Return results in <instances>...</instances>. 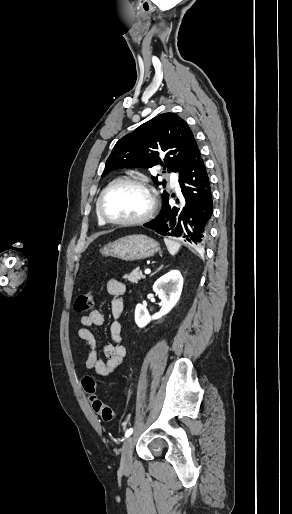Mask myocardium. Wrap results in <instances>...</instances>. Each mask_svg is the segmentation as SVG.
<instances>
[{"label": "myocardium", "instance_id": "obj_1", "mask_svg": "<svg viewBox=\"0 0 292 514\" xmlns=\"http://www.w3.org/2000/svg\"><path fill=\"white\" fill-rule=\"evenodd\" d=\"M123 184H132V185L140 187L146 193V195L148 197L149 205H148L147 211L139 217L129 219V220H114V219H111L110 217H108L103 212V200H104L106 194L112 188L119 186V185H123ZM155 208H156V200H155V196H154L152 190L149 188L146 181H144L143 179L137 178V177H124V178H119L117 180L112 181L110 184H108L102 190V192L100 193L98 200H97V212H98L99 217L105 223L118 225V226H131V225L141 224L152 217V215L155 212Z\"/></svg>", "mask_w": 292, "mask_h": 514}]
</instances>
